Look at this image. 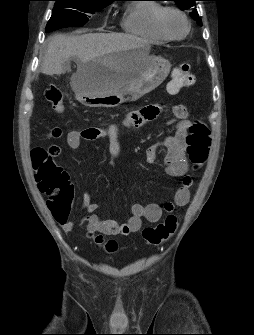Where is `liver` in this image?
Listing matches in <instances>:
<instances>
[{
  "label": "liver",
  "mask_w": 254,
  "mask_h": 335,
  "mask_svg": "<svg viewBox=\"0 0 254 335\" xmlns=\"http://www.w3.org/2000/svg\"><path fill=\"white\" fill-rule=\"evenodd\" d=\"M143 45L139 38L120 33H88L83 35L54 34L49 38L41 71L45 75H60L69 60L76 58L77 72L71 78V86L76 91V81L94 79L103 91L114 92L123 88L137 74L143 73L147 63L133 67L117 68L98 76H91L88 63L124 50ZM67 69V70H68Z\"/></svg>",
  "instance_id": "liver-1"
}]
</instances>
